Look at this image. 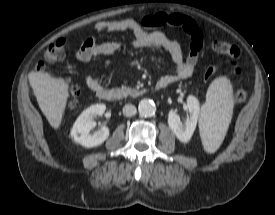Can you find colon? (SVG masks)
I'll list each match as a JSON object with an SVG mask.
<instances>
[{
    "instance_id": "1",
    "label": "colon",
    "mask_w": 275,
    "mask_h": 215,
    "mask_svg": "<svg viewBox=\"0 0 275 215\" xmlns=\"http://www.w3.org/2000/svg\"><path fill=\"white\" fill-rule=\"evenodd\" d=\"M165 21L166 24L182 28L190 35L195 34L197 31L196 24L182 15L167 16ZM212 48L215 52L225 56L226 67L231 73H240L238 60L240 58L241 52L236 46L218 40L213 42ZM66 50V41L64 39H59L50 44L44 52L43 60L38 62L36 69L40 71L47 63H54L62 60L65 57ZM219 70L220 68L217 66L208 68L204 73V79H211L214 75L218 73ZM79 95V88L76 85H70L66 102V106L68 109L73 110L77 108L79 104ZM235 96L238 101H245L248 97V93L244 89H238Z\"/></svg>"
}]
</instances>
